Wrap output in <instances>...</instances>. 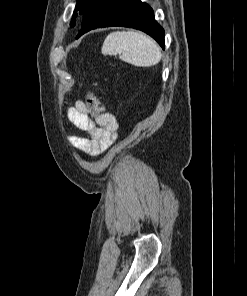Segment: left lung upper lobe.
I'll return each mask as SVG.
<instances>
[{"label": "left lung upper lobe", "mask_w": 247, "mask_h": 296, "mask_svg": "<svg viewBox=\"0 0 247 296\" xmlns=\"http://www.w3.org/2000/svg\"><path fill=\"white\" fill-rule=\"evenodd\" d=\"M98 1L99 0H78L70 26H75V18L77 16V11L79 12V14L84 15Z\"/></svg>", "instance_id": "obj_1"}]
</instances>
